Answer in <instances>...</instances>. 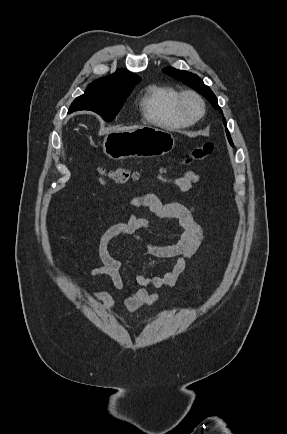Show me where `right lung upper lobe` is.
<instances>
[{
  "mask_svg": "<svg viewBox=\"0 0 287 434\" xmlns=\"http://www.w3.org/2000/svg\"><path fill=\"white\" fill-rule=\"evenodd\" d=\"M140 80L141 78L139 76L127 71L126 69H118L114 74L104 78H100L96 81L123 84V83L137 82Z\"/></svg>",
  "mask_w": 287,
  "mask_h": 434,
  "instance_id": "obj_1",
  "label": "right lung upper lobe"
}]
</instances>
